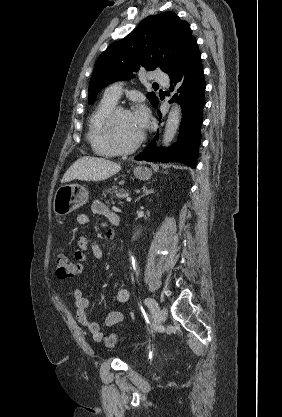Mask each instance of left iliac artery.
<instances>
[{
	"label": "left iliac artery",
	"instance_id": "left-iliac-artery-1",
	"mask_svg": "<svg viewBox=\"0 0 282 417\" xmlns=\"http://www.w3.org/2000/svg\"><path fill=\"white\" fill-rule=\"evenodd\" d=\"M144 303L148 306L153 316H156L159 310L157 302L152 298H146Z\"/></svg>",
	"mask_w": 282,
	"mask_h": 417
}]
</instances>
